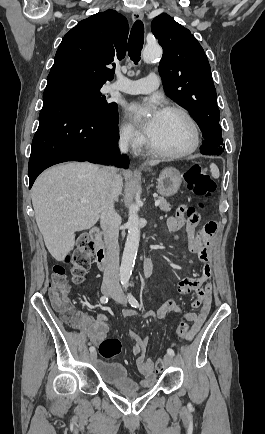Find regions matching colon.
<instances>
[{
    "label": "colon",
    "mask_w": 265,
    "mask_h": 434,
    "mask_svg": "<svg viewBox=\"0 0 265 434\" xmlns=\"http://www.w3.org/2000/svg\"><path fill=\"white\" fill-rule=\"evenodd\" d=\"M184 176L188 190L197 196L210 197L216 191V184L210 173L199 166H191L186 170ZM201 208L202 205L199 204L196 208L191 209L189 214H192L195 210ZM91 260V254L84 251H77L72 255L69 262L73 261L71 270L76 282H82L84 280L85 275L90 269ZM66 273L67 267L63 263L54 265L48 280V292L54 307L60 312V322H73V312L70 303L66 298L68 291ZM177 336L178 338L185 340L190 338L191 329L189 322L183 321L180 323ZM121 348L122 344L118 339L103 340L99 345V353L104 359L110 360L121 352ZM157 360L158 363L156 364V367L157 370L160 371L163 369L164 359L160 356Z\"/></svg>",
    "instance_id": "5ec220e1"
}]
</instances>
